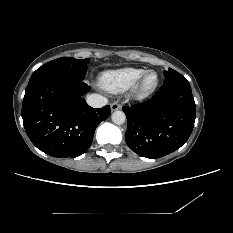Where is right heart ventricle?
Segmentation results:
<instances>
[{"label": "right heart ventricle", "instance_id": "obj_1", "mask_svg": "<svg viewBox=\"0 0 233 233\" xmlns=\"http://www.w3.org/2000/svg\"><path fill=\"white\" fill-rule=\"evenodd\" d=\"M145 72V69L138 67L108 71L102 74L99 84L110 93H122L134 86Z\"/></svg>", "mask_w": 233, "mask_h": 233}]
</instances>
